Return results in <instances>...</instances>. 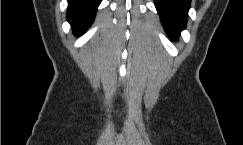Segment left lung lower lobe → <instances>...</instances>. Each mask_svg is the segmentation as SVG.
Listing matches in <instances>:
<instances>
[{
    "label": "left lung lower lobe",
    "mask_w": 243,
    "mask_h": 145,
    "mask_svg": "<svg viewBox=\"0 0 243 145\" xmlns=\"http://www.w3.org/2000/svg\"><path fill=\"white\" fill-rule=\"evenodd\" d=\"M190 0H155L156 9L168 36L176 39L186 26Z\"/></svg>",
    "instance_id": "left-lung-lower-lobe-1"
}]
</instances>
